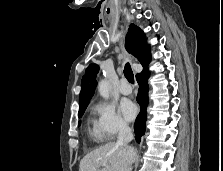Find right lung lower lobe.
Returning <instances> with one entry per match:
<instances>
[{
  "instance_id": "1",
  "label": "right lung lower lobe",
  "mask_w": 223,
  "mask_h": 171,
  "mask_svg": "<svg viewBox=\"0 0 223 171\" xmlns=\"http://www.w3.org/2000/svg\"><path fill=\"white\" fill-rule=\"evenodd\" d=\"M148 78H149V71L146 69L136 75V79L139 84L137 101L141 106V112L138 115L134 125L136 134L135 139L138 143L141 140V136H143L145 133L146 107L148 104V84H147Z\"/></svg>"
}]
</instances>
